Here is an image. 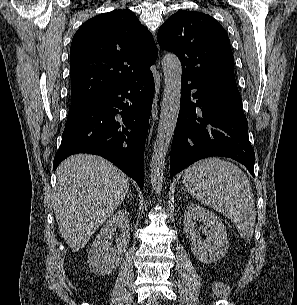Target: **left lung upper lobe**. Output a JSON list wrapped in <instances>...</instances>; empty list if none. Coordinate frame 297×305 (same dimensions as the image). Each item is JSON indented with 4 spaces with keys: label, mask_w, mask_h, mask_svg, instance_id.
Segmentation results:
<instances>
[{
    "label": "left lung upper lobe",
    "mask_w": 297,
    "mask_h": 305,
    "mask_svg": "<svg viewBox=\"0 0 297 305\" xmlns=\"http://www.w3.org/2000/svg\"><path fill=\"white\" fill-rule=\"evenodd\" d=\"M161 48L178 56L182 73L196 80L234 79V57L225 29L211 16L178 11L159 28Z\"/></svg>",
    "instance_id": "obj_1"
}]
</instances>
